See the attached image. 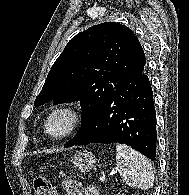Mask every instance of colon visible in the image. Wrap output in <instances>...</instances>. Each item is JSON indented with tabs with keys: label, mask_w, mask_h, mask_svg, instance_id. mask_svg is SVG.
<instances>
[{
	"label": "colon",
	"mask_w": 189,
	"mask_h": 195,
	"mask_svg": "<svg viewBox=\"0 0 189 195\" xmlns=\"http://www.w3.org/2000/svg\"><path fill=\"white\" fill-rule=\"evenodd\" d=\"M63 186L66 195H83L81 184L71 177L65 179ZM33 188L36 195H57L54 186L44 177H36L33 181Z\"/></svg>",
	"instance_id": "5ec220e1"
}]
</instances>
